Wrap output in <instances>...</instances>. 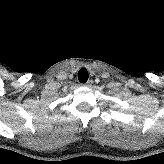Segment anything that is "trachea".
I'll return each instance as SVG.
<instances>
[{
	"label": "trachea",
	"mask_w": 164,
	"mask_h": 164,
	"mask_svg": "<svg viewBox=\"0 0 164 164\" xmlns=\"http://www.w3.org/2000/svg\"><path fill=\"white\" fill-rule=\"evenodd\" d=\"M88 71L85 68H81L78 71V79L80 83H85L88 80Z\"/></svg>",
	"instance_id": "1"
}]
</instances>
